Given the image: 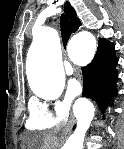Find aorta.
<instances>
[{
  "label": "aorta",
  "mask_w": 124,
  "mask_h": 149,
  "mask_svg": "<svg viewBox=\"0 0 124 149\" xmlns=\"http://www.w3.org/2000/svg\"><path fill=\"white\" fill-rule=\"evenodd\" d=\"M71 49L93 53L96 48L95 37L88 31L76 34L69 44ZM36 62L29 74V84L33 93L44 99H55L62 93L65 74L60 60V44L57 33L45 29L36 47ZM95 108L87 99L77 103L75 116L77 128L64 144L63 149H83L86 131L94 118Z\"/></svg>",
  "instance_id": "obj_1"
}]
</instances>
